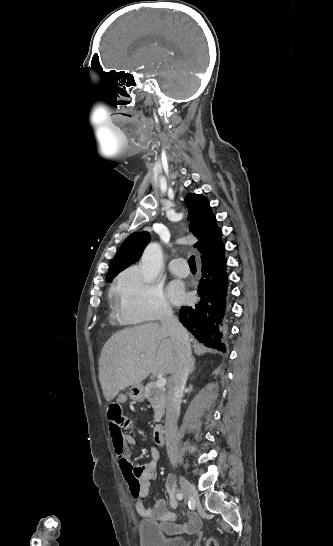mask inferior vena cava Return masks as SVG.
Here are the masks:
<instances>
[{
	"instance_id": "602c4592",
	"label": "inferior vena cava",
	"mask_w": 333,
	"mask_h": 546,
	"mask_svg": "<svg viewBox=\"0 0 333 546\" xmlns=\"http://www.w3.org/2000/svg\"><path fill=\"white\" fill-rule=\"evenodd\" d=\"M161 330L168 334L175 342L176 366L172 372L167 394V412L165 419V436L167 454L172 465L178 461L177 420L184 387L192 367L190 340L186 329L174 316L171 308L163 310L161 316Z\"/></svg>"
}]
</instances>
